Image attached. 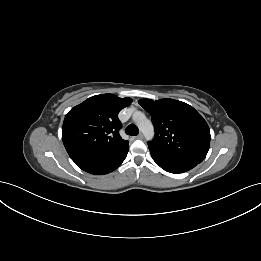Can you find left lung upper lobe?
Masks as SVG:
<instances>
[{"mask_svg":"<svg viewBox=\"0 0 261 261\" xmlns=\"http://www.w3.org/2000/svg\"><path fill=\"white\" fill-rule=\"evenodd\" d=\"M151 115L155 138L149 147L201 163L210 145V130L204 118L190 105L174 99H141Z\"/></svg>","mask_w":261,"mask_h":261,"instance_id":"1","label":"left lung upper lobe"}]
</instances>
